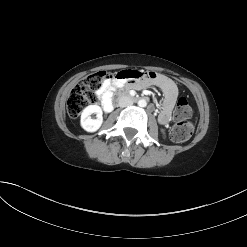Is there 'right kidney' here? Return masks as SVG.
<instances>
[{
  "instance_id": "right-kidney-1",
  "label": "right kidney",
  "mask_w": 247,
  "mask_h": 247,
  "mask_svg": "<svg viewBox=\"0 0 247 247\" xmlns=\"http://www.w3.org/2000/svg\"><path fill=\"white\" fill-rule=\"evenodd\" d=\"M96 114V119L91 118V114ZM102 109L98 105H89L87 106L81 114V126L84 130L87 132H95L97 131L102 123H103V117H102Z\"/></svg>"
}]
</instances>
